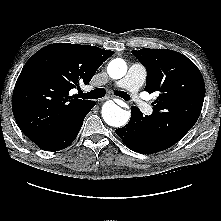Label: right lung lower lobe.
<instances>
[{
	"mask_svg": "<svg viewBox=\"0 0 221 221\" xmlns=\"http://www.w3.org/2000/svg\"><path fill=\"white\" fill-rule=\"evenodd\" d=\"M95 106V102L89 107V109L75 122H73L66 129L60 133L54 135L53 137L45 140L44 142L38 144V146L45 151H58L68 147L77 137L85 116L90 112V110Z\"/></svg>",
	"mask_w": 221,
	"mask_h": 221,
	"instance_id": "obj_1",
	"label": "right lung lower lobe"
}]
</instances>
